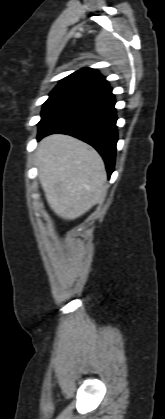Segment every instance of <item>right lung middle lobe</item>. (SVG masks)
<instances>
[{"instance_id": "dd1d6c3e", "label": "right lung middle lobe", "mask_w": 165, "mask_h": 419, "mask_svg": "<svg viewBox=\"0 0 165 419\" xmlns=\"http://www.w3.org/2000/svg\"><path fill=\"white\" fill-rule=\"evenodd\" d=\"M81 97L82 95L76 92L54 89L50 93L48 100L43 105L41 121L38 125L40 126L54 112L62 109Z\"/></svg>"}]
</instances>
